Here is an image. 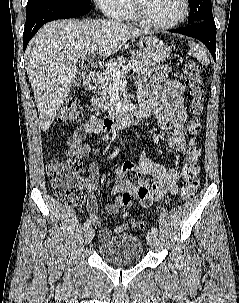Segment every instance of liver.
<instances>
[{"label": "liver", "instance_id": "liver-1", "mask_svg": "<svg viewBox=\"0 0 239 303\" xmlns=\"http://www.w3.org/2000/svg\"><path fill=\"white\" fill-rule=\"evenodd\" d=\"M147 34L113 20H58L45 24L25 52L40 126L46 131L70 93L77 75L78 59L97 45V53L111 56L128 39Z\"/></svg>", "mask_w": 239, "mask_h": 303}]
</instances>
